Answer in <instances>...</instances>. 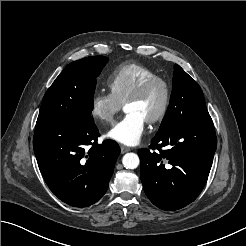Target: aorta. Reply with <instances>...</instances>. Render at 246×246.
Wrapping results in <instances>:
<instances>
[{
  "label": "aorta",
  "mask_w": 246,
  "mask_h": 246,
  "mask_svg": "<svg viewBox=\"0 0 246 246\" xmlns=\"http://www.w3.org/2000/svg\"><path fill=\"white\" fill-rule=\"evenodd\" d=\"M122 163L126 169H135L138 167L140 160L137 154L127 153L123 156Z\"/></svg>",
  "instance_id": "aorta-1"
}]
</instances>
